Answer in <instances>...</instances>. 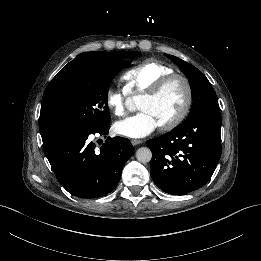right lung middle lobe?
Masks as SVG:
<instances>
[{"instance_id":"right-lung-middle-lobe-1","label":"right lung middle lobe","mask_w":261,"mask_h":261,"mask_svg":"<svg viewBox=\"0 0 261 261\" xmlns=\"http://www.w3.org/2000/svg\"><path fill=\"white\" fill-rule=\"evenodd\" d=\"M139 52H128L131 58ZM127 61H83L69 68L57 81L55 89L65 121V130L95 131L111 118L107 105L110 83ZM43 144L54 138L41 132Z\"/></svg>"}]
</instances>
